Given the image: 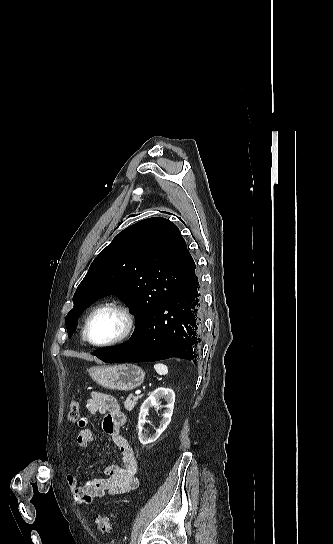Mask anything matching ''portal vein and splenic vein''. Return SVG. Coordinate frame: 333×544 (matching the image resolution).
<instances>
[{
	"label": "portal vein and splenic vein",
	"mask_w": 333,
	"mask_h": 544,
	"mask_svg": "<svg viewBox=\"0 0 333 544\" xmlns=\"http://www.w3.org/2000/svg\"><path fill=\"white\" fill-rule=\"evenodd\" d=\"M140 393H141V391H140V390H137L135 394H140Z\"/></svg>",
	"instance_id": "portal-vein-and-splenic-vein-1"
}]
</instances>
